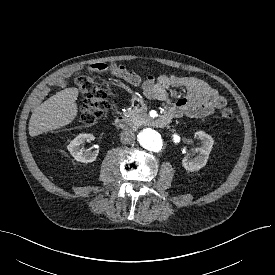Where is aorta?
<instances>
[{
    "instance_id": "aorta-1",
    "label": "aorta",
    "mask_w": 275,
    "mask_h": 275,
    "mask_svg": "<svg viewBox=\"0 0 275 275\" xmlns=\"http://www.w3.org/2000/svg\"><path fill=\"white\" fill-rule=\"evenodd\" d=\"M138 142L143 148L149 151L157 152L162 147L160 134L150 128H146L138 134Z\"/></svg>"
}]
</instances>
